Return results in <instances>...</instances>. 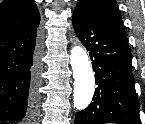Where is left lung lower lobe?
<instances>
[{"mask_svg":"<svg viewBox=\"0 0 145 124\" xmlns=\"http://www.w3.org/2000/svg\"><path fill=\"white\" fill-rule=\"evenodd\" d=\"M73 27L90 53L96 84L93 102L75 124H141L126 36L75 9Z\"/></svg>","mask_w":145,"mask_h":124,"instance_id":"0a47b994","label":"left lung lower lobe"}]
</instances>
